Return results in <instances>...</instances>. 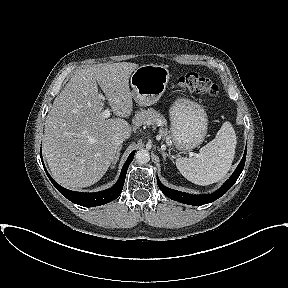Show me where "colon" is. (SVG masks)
Returning <instances> with one entry per match:
<instances>
[{
    "mask_svg": "<svg viewBox=\"0 0 288 288\" xmlns=\"http://www.w3.org/2000/svg\"><path fill=\"white\" fill-rule=\"evenodd\" d=\"M177 85L184 91L196 92L209 97L217 96L219 88L209 78L190 72L180 76Z\"/></svg>",
    "mask_w": 288,
    "mask_h": 288,
    "instance_id": "obj_1",
    "label": "colon"
}]
</instances>
